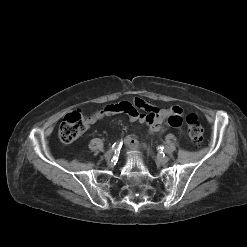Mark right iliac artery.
Segmentation results:
<instances>
[{
    "instance_id": "82829eb1",
    "label": "right iliac artery",
    "mask_w": 247,
    "mask_h": 247,
    "mask_svg": "<svg viewBox=\"0 0 247 247\" xmlns=\"http://www.w3.org/2000/svg\"><path fill=\"white\" fill-rule=\"evenodd\" d=\"M121 146H122V142L121 141H117V142H115L113 145H112V147H111V150H119V149H121Z\"/></svg>"
}]
</instances>
